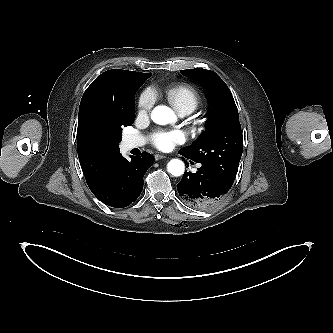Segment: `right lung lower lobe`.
<instances>
[{"mask_svg":"<svg viewBox=\"0 0 333 333\" xmlns=\"http://www.w3.org/2000/svg\"><path fill=\"white\" fill-rule=\"evenodd\" d=\"M153 162V156L147 152H143L140 157L131 156V161L120 154L106 179L93 194L111 207L123 208L130 205L142 192L144 174Z\"/></svg>","mask_w":333,"mask_h":333,"instance_id":"right-lung-lower-lobe-1","label":"right lung lower lobe"}]
</instances>
